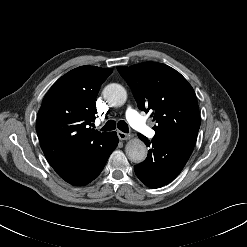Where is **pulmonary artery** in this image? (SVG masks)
Listing matches in <instances>:
<instances>
[{
	"mask_svg": "<svg viewBox=\"0 0 247 247\" xmlns=\"http://www.w3.org/2000/svg\"><path fill=\"white\" fill-rule=\"evenodd\" d=\"M126 117L131 124L139 132L143 133L148 137H153L155 135V131L150 128L143 118L139 115V113L133 108H128L126 111Z\"/></svg>",
	"mask_w": 247,
	"mask_h": 247,
	"instance_id": "pulmonary-artery-1",
	"label": "pulmonary artery"
}]
</instances>
